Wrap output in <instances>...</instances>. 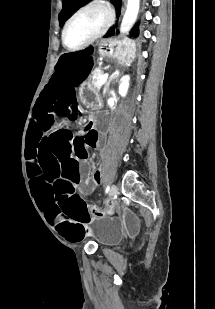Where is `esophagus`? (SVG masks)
<instances>
[{"label":"esophagus","instance_id":"obj_1","mask_svg":"<svg viewBox=\"0 0 215 309\" xmlns=\"http://www.w3.org/2000/svg\"><path fill=\"white\" fill-rule=\"evenodd\" d=\"M125 8H126V0H123L122 7H121V15L124 13Z\"/></svg>","mask_w":215,"mask_h":309}]
</instances>
